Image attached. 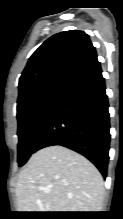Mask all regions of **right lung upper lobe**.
Wrapping results in <instances>:
<instances>
[{"mask_svg":"<svg viewBox=\"0 0 123 219\" xmlns=\"http://www.w3.org/2000/svg\"><path fill=\"white\" fill-rule=\"evenodd\" d=\"M96 50L83 31L60 32L46 40L29 58L19 79V97L53 81H69L97 62Z\"/></svg>","mask_w":123,"mask_h":219,"instance_id":"right-lung-upper-lobe-1","label":"right lung upper lobe"}]
</instances>
